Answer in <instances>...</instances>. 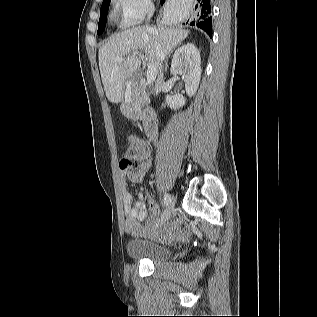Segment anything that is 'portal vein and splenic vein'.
Returning <instances> with one entry per match:
<instances>
[{
	"mask_svg": "<svg viewBox=\"0 0 317 317\" xmlns=\"http://www.w3.org/2000/svg\"><path fill=\"white\" fill-rule=\"evenodd\" d=\"M139 58L143 61L144 65H147V84H151L156 77L157 69L153 64L147 63V59L143 55H139ZM119 60H122V58H119Z\"/></svg>",
	"mask_w": 317,
	"mask_h": 317,
	"instance_id": "18ae733b",
	"label": "portal vein and splenic vein"
}]
</instances>
